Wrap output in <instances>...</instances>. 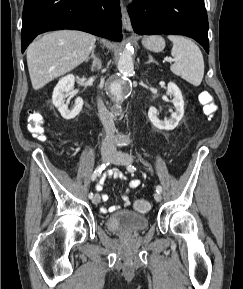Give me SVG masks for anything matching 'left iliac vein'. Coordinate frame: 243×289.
Masks as SVG:
<instances>
[{"label": "left iliac vein", "mask_w": 243, "mask_h": 289, "mask_svg": "<svg viewBox=\"0 0 243 289\" xmlns=\"http://www.w3.org/2000/svg\"><path fill=\"white\" fill-rule=\"evenodd\" d=\"M113 163L117 165H130L133 161V158L131 155L127 153H122V152H114L113 157L111 159ZM154 199L157 202H160L162 200V196L160 193L156 192L154 194Z\"/></svg>", "instance_id": "obj_1"}]
</instances>
